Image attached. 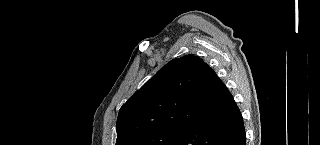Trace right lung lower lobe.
I'll return each mask as SVG.
<instances>
[{"mask_svg": "<svg viewBox=\"0 0 320 145\" xmlns=\"http://www.w3.org/2000/svg\"><path fill=\"white\" fill-rule=\"evenodd\" d=\"M220 92L217 110L206 119L188 125L169 145H245L240 110L224 84Z\"/></svg>", "mask_w": 320, "mask_h": 145, "instance_id": "98d812e1", "label": "right lung lower lobe"}]
</instances>
